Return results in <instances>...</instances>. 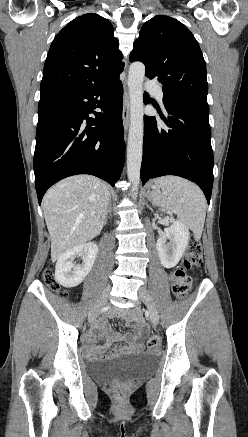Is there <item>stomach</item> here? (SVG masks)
Segmentation results:
<instances>
[{
  "label": "stomach",
  "mask_w": 248,
  "mask_h": 437,
  "mask_svg": "<svg viewBox=\"0 0 248 437\" xmlns=\"http://www.w3.org/2000/svg\"><path fill=\"white\" fill-rule=\"evenodd\" d=\"M151 189H152L151 195H152V198H153V195L156 193L155 185H151Z\"/></svg>",
  "instance_id": "1"
}]
</instances>
